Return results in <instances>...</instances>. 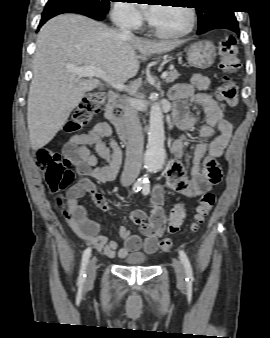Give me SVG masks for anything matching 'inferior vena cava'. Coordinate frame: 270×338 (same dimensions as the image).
Here are the masks:
<instances>
[{
  "label": "inferior vena cava",
  "instance_id": "obj_1",
  "mask_svg": "<svg viewBox=\"0 0 270 338\" xmlns=\"http://www.w3.org/2000/svg\"><path fill=\"white\" fill-rule=\"evenodd\" d=\"M120 33L124 37H134L133 33L124 25H120ZM124 130L127 140L126 161L121 176L122 181L135 180L140 174L143 153L142 128L136 110L130 105L129 99L122 103Z\"/></svg>",
  "mask_w": 270,
  "mask_h": 338
}]
</instances>
